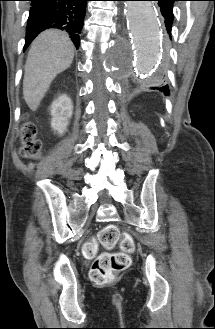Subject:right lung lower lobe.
I'll list each match as a JSON object with an SVG mask.
<instances>
[{
    "instance_id": "obj_1",
    "label": "right lung lower lobe",
    "mask_w": 215,
    "mask_h": 329,
    "mask_svg": "<svg viewBox=\"0 0 215 329\" xmlns=\"http://www.w3.org/2000/svg\"><path fill=\"white\" fill-rule=\"evenodd\" d=\"M31 8L26 27L24 50L43 30L59 28L69 33L79 48L86 4L89 0H30Z\"/></svg>"
}]
</instances>
